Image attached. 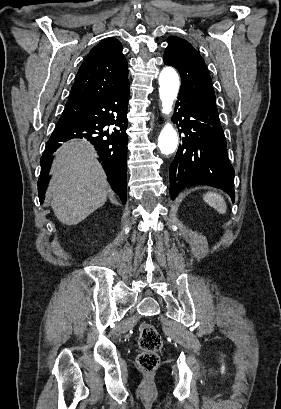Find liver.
I'll list each match as a JSON object with an SVG mask.
<instances>
[{
	"mask_svg": "<svg viewBox=\"0 0 281 409\" xmlns=\"http://www.w3.org/2000/svg\"><path fill=\"white\" fill-rule=\"evenodd\" d=\"M51 174L46 194L63 225H78L105 205L109 182L88 142H65L56 152Z\"/></svg>",
	"mask_w": 281,
	"mask_h": 409,
	"instance_id": "1",
	"label": "liver"
}]
</instances>
